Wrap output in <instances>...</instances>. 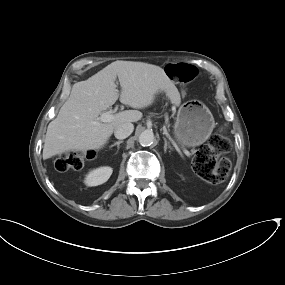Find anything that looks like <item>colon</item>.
I'll list each match as a JSON object with an SVG mask.
<instances>
[{
  "instance_id": "1",
  "label": "colon",
  "mask_w": 285,
  "mask_h": 285,
  "mask_svg": "<svg viewBox=\"0 0 285 285\" xmlns=\"http://www.w3.org/2000/svg\"><path fill=\"white\" fill-rule=\"evenodd\" d=\"M169 75L180 83H188L193 79V67L186 64H168ZM232 151V144L226 135V128L221 127L214 133L209 142L198 148L193 160V169L204 180L212 183L223 182L231 168L227 155ZM85 156L77 152L62 153L55 161L58 171L81 169Z\"/></svg>"
}]
</instances>
